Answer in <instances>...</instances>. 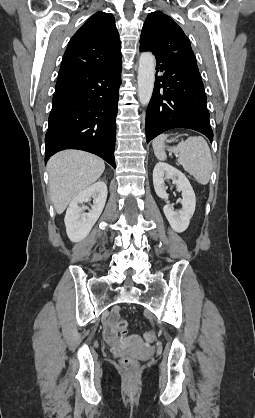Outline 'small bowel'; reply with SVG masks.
I'll return each instance as SVG.
<instances>
[{"mask_svg":"<svg viewBox=\"0 0 255 418\" xmlns=\"http://www.w3.org/2000/svg\"><path fill=\"white\" fill-rule=\"evenodd\" d=\"M114 314H117V309L114 311ZM105 335H106V339L109 342H113L116 339L117 334H116L115 328L113 326V323H110L106 327V329H105Z\"/></svg>","mask_w":255,"mask_h":418,"instance_id":"obj_1","label":"small bowel"}]
</instances>
